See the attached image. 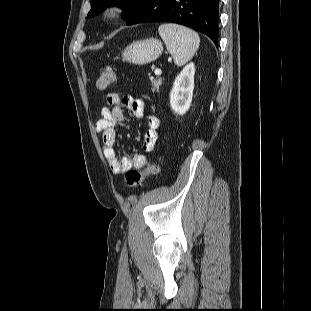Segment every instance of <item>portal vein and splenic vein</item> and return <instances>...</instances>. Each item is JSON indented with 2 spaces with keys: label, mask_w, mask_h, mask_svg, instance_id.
Returning <instances> with one entry per match:
<instances>
[{
  "label": "portal vein and splenic vein",
  "mask_w": 311,
  "mask_h": 311,
  "mask_svg": "<svg viewBox=\"0 0 311 311\" xmlns=\"http://www.w3.org/2000/svg\"><path fill=\"white\" fill-rule=\"evenodd\" d=\"M155 75H161V69H155L154 71Z\"/></svg>",
  "instance_id": "obj_1"
}]
</instances>
